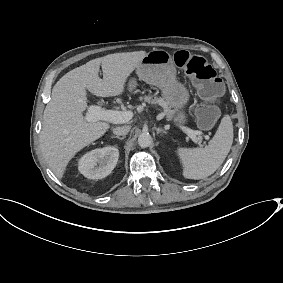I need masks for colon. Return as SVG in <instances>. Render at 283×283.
Here are the masks:
<instances>
[{
  "mask_svg": "<svg viewBox=\"0 0 283 283\" xmlns=\"http://www.w3.org/2000/svg\"><path fill=\"white\" fill-rule=\"evenodd\" d=\"M174 61L192 78L199 95L204 100V103L197 109L199 125L203 128L212 127L219 116L216 103L223 90L222 82L217 77L216 71L205 58L188 51L176 52Z\"/></svg>",
  "mask_w": 283,
  "mask_h": 283,
  "instance_id": "1",
  "label": "colon"
}]
</instances>
